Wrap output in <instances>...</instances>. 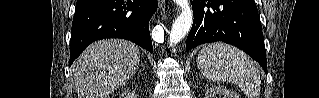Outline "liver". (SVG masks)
<instances>
[{
    "instance_id": "1",
    "label": "liver",
    "mask_w": 319,
    "mask_h": 98,
    "mask_svg": "<svg viewBox=\"0 0 319 98\" xmlns=\"http://www.w3.org/2000/svg\"><path fill=\"white\" fill-rule=\"evenodd\" d=\"M139 61V48L132 42L109 39L91 44L73 64L78 98H107L133 76Z\"/></svg>"
}]
</instances>
